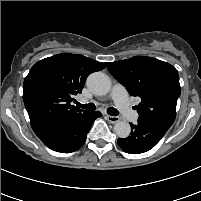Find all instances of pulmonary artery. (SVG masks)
<instances>
[{
  "label": "pulmonary artery",
  "mask_w": 201,
  "mask_h": 201,
  "mask_svg": "<svg viewBox=\"0 0 201 201\" xmlns=\"http://www.w3.org/2000/svg\"><path fill=\"white\" fill-rule=\"evenodd\" d=\"M110 96L126 120L135 122L138 119L139 115L132 109L126 88L122 84H115L111 90Z\"/></svg>",
  "instance_id": "1"
}]
</instances>
